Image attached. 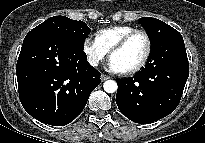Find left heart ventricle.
I'll return each mask as SVG.
<instances>
[{
  "label": "left heart ventricle",
  "mask_w": 205,
  "mask_h": 143,
  "mask_svg": "<svg viewBox=\"0 0 205 143\" xmlns=\"http://www.w3.org/2000/svg\"><path fill=\"white\" fill-rule=\"evenodd\" d=\"M146 51V39L143 35H135L128 44L116 52L112 59L115 60L124 70L137 65L143 58Z\"/></svg>",
  "instance_id": "left-heart-ventricle-1"
}]
</instances>
